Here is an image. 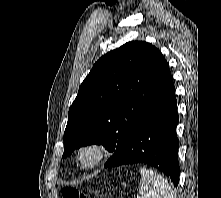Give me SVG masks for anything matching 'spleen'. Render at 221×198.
<instances>
[{"label": "spleen", "instance_id": "spleen-1", "mask_svg": "<svg viewBox=\"0 0 221 198\" xmlns=\"http://www.w3.org/2000/svg\"><path fill=\"white\" fill-rule=\"evenodd\" d=\"M139 193L143 198H176L169 182L161 174L148 168L140 169Z\"/></svg>", "mask_w": 221, "mask_h": 198}]
</instances>
